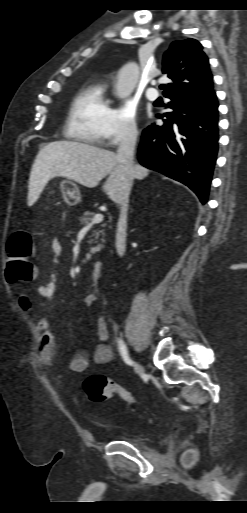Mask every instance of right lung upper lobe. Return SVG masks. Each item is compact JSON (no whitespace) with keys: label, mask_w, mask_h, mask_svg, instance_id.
Wrapping results in <instances>:
<instances>
[{"label":"right lung upper lobe","mask_w":247,"mask_h":513,"mask_svg":"<svg viewBox=\"0 0 247 513\" xmlns=\"http://www.w3.org/2000/svg\"><path fill=\"white\" fill-rule=\"evenodd\" d=\"M162 72L173 80L163 92L165 97L200 94L213 88L208 57L195 39L174 41L164 54Z\"/></svg>","instance_id":"right-lung-upper-lobe-1"}]
</instances>
